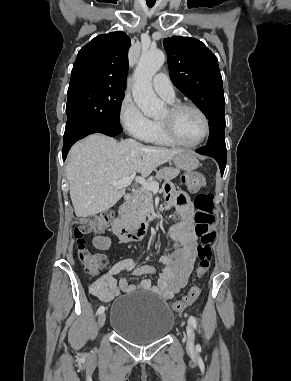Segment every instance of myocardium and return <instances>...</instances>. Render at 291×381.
I'll list each match as a JSON object with an SVG mask.
<instances>
[{
  "label": "myocardium",
  "mask_w": 291,
  "mask_h": 381,
  "mask_svg": "<svg viewBox=\"0 0 291 381\" xmlns=\"http://www.w3.org/2000/svg\"><path fill=\"white\" fill-rule=\"evenodd\" d=\"M186 109H191V110H194L195 112H197L201 116L203 123H204V131H203L202 136L197 141H195L193 143H187V142L182 141L177 136V134L174 130V119H175V117L180 112H182L183 110H186ZM167 111H168V118L164 119V120H158V124L160 126L162 133L173 144L183 146V147L193 148V147H196V146L200 145L201 143H203L204 140L208 137L209 132H210L209 119H208L207 115L205 114V112L201 108H199L198 106H196L192 103H174L167 108Z\"/></svg>",
  "instance_id": "1"
}]
</instances>
